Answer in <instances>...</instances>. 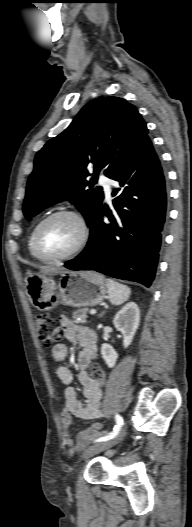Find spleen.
I'll return each mask as SVG.
<instances>
[{
    "mask_svg": "<svg viewBox=\"0 0 192 527\" xmlns=\"http://www.w3.org/2000/svg\"><path fill=\"white\" fill-rule=\"evenodd\" d=\"M105 283L110 302L113 305H121L129 299L131 289L127 285L114 281L113 279H106Z\"/></svg>",
    "mask_w": 192,
    "mask_h": 527,
    "instance_id": "spleen-1",
    "label": "spleen"
}]
</instances>
